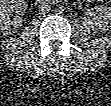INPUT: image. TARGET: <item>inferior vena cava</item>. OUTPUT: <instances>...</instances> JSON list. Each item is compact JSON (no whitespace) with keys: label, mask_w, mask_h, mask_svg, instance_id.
Here are the masks:
<instances>
[{"label":"inferior vena cava","mask_w":111,"mask_h":106,"mask_svg":"<svg viewBox=\"0 0 111 106\" xmlns=\"http://www.w3.org/2000/svg\"><path fill=\"white\" fill-rule=\"evenodd\" d=\"M39 14L45 15L51 11L50 5L43 3L39 6Z\"/></svg>","instance_id":"obj_1"}]
</instances>
